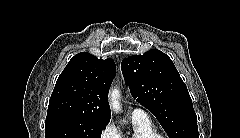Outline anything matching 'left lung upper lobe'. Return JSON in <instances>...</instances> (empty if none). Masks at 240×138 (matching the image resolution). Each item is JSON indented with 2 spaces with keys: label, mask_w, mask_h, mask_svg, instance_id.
Listing matches in <instances>:
<instances>
[{
  "label": "left lung upper lobe",
  "mask_w": 240,
  "mask_h": 138,
  "mask_svg": "<svg viewBox=\"0 0 240 138\" xmlns=\"http://www.w3.org/2000/svg\"><path fill=\"white\" fill-rule=\"evenodd\" d=\"M131 94L170 138H199L197 116L185 83L168 55L152 49L122 61Z\"/></svg>",
  "instance_id": "1"
}]
</instances>
